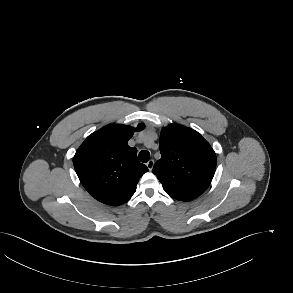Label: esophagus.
Segmentation results:
<instances>
[{"mask_svg": "<svg viewBox=\"0 0 293 293\" xmlns=\"http://www.w3.org/2000/svg\"><path fill=\"white\" fill-rule=\"evenodd\" d=\"M146 165H147L148 169L151 171L154 166V160H149Z\"/></svg>", "mask_w": 293, "mask_h": 293, "instance_id": "esophagus-1", "label": "esophagus"}]
</instances>
